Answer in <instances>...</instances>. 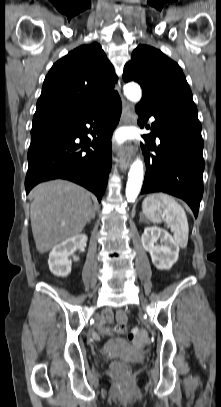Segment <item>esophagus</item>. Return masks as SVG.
Wrapping results in <instances>:
<instances>
[{
  "label": "esophagus",
  "instance_id": "1",
  "mask_svg": "<svg viewBox=\"0 0 221 407\" xmlns=\"http://www.w3.org/2000/svg\"><path fill=\"white\" fill-rule=\"evenodd\" d=\"M133 117V106L123 101V109L121 115V121L124 124H129ZM133 154V145L129 142L127 145L122 147L118 153L119 165L122 171H125L130 164L131 156Z\"/></svg>",
  "mask_w": 221,
  "mask_h": 407
}]
</instances>
